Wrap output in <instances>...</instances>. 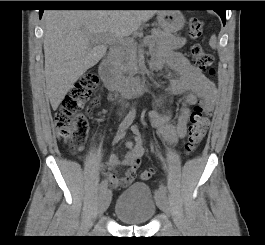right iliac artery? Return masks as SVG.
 <instances>
[{
	"label": "right iliac artery",
	"instance_id": "82829eb1",
	"mask_svg": "<svg viewBox=\"0 0 265 245\" xmlns=\"http://www.w3.org/2000/svg\"><path fill=\"white\" fill-rule=\"evenodd\" d=\"M135 114H136V111L134 108H132V110L129 111V113L125 116V118L120 123V125L118 127V131L119 130L120 131L126 130V128H128L129 125H131V123L133 122V120L135 118ZM106 189H107V181L102 180L100 183V192L102 193Z\"/></svg>",
	"mask_w": 265,
	"mask_h": 245
}]
</instances>
